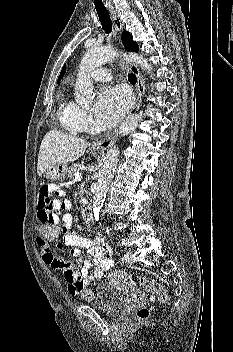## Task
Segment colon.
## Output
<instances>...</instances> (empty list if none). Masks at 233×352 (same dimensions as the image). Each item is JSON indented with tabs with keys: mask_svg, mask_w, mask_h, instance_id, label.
<instances>
[{
	"mask_svg": "<svg viewBox=\"0 0 233 352\" xmlns=\"http://www.w3.org/2000/svg\"><path fill=\"white\" fill-rule=\"evenodd\" d=\"M37 232L39 234V238L44 243L56 240L59 235V229L47 222H40V224L37 226ZM140 285L152 299L157 300L161 303L168 302L167 293L156 280L144 277L140 279ZM80 293L82 299L84 300H90L94 295V291L91 289H82ZM148 316L149 310L145 307L140 308L137 311V317L140 319L146 318Z\"/></svg>",
	"mask_w": 233,
	"mask_h": 352,
	"instance_id": "5ec220e1",
	"label": "colon"
}]
</instances>
